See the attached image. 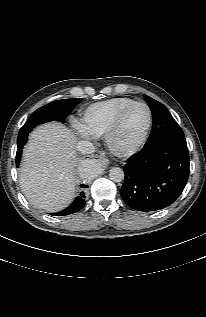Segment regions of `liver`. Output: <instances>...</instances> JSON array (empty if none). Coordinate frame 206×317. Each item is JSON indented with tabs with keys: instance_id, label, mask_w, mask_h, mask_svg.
Returning <instances> with one entry per match:
<instances>
[{
	"instance_id": "1",
	"label": "liver",
	"mask_w": 206,
	"mask_h": 317,
	"mask_svg": "<svg viewBox=\"0 0 206 317\" xmlns=\"http://www.w3.org/2000/svg\"><path fill=\"white\" fill-rule=\"evenodd\" d=\"M76 137L67 127L46 123L31 134L20 168L23 193L36 208L57 212L75 191Z\"/></svg>"
}]
</instances>
